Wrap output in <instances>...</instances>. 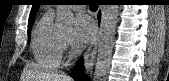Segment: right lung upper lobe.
<instances>
[{
    "label": "right lung upper lobe",
    "instance_id": "cb5924a9",
    "mask_svg": "<svg viewBox=\"0 0 169 81\" xmlns=\"http://www.w3.org/2000/svg\"><path fill=\"white\" fill-rule=\"evenodd\" d=\"M38 7H39V4L33 5L31 14H30V16H29V23H30V22H34L35 15H36V12H37V10H38Z\"/></svg>",
    "mask_w": 169,
    "mask_h": 81
}]
</instances>
